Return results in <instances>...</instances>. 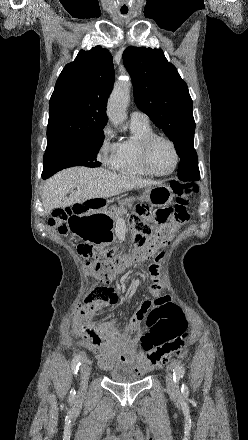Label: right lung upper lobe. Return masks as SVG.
Instances as JSON below:
<instances>
[{"label":"right lung upper lobe","instance_id":"cb5924a9","mask_svg":"<svg viewBox=\"0 0 248 440\" xmlns=\"http://www.w3.org/2000/svg\"><path fill=\"white\" fill-rule=\"evenodd\" d=\"M114 77L113 58L107 49L81 50L56 82L49 102L47 143L103 129Z\"/></svg>","mask_w":248,"mask_h":440}]
</instances>
